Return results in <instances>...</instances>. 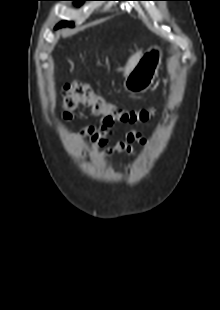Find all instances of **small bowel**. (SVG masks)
<instances>
[{"instance_id": "1", "label": "small bowel", "mask_w": 220, "mask_h": 310, "mask_svg": "<svg viewBox=\"0 0 220 310\" xmlns=\"http://www.w3.org/2000/svg\"><path fill=\"white\" fill-rule=\"evenodd\" d=\"M111 133V128L102 125L100 128L89 126L82 129L75 139L79 142H83L85 137L90 138L95 145L96 150L101 155H110L113 153H124L133 157L138 155L133 143H138L142 146L147 145L146 139L143 135L135 130L130 131L124 141H119L113 146H107V136Z\"/></svg>"}]
</instances>
